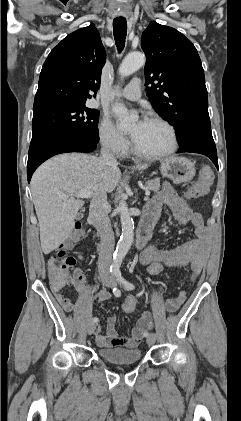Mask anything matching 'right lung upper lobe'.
Here are the masks:
<instances>
[{"label": "right lung upper lobe", "mask_w": 241, "mask_h": 421, "mask_svg": "<svg viewBox=\"0 0 241 421\" xmlns=\"http://www.w3.org/2000/svg\"><path fill=\"white\" fill-rule=\"evenodd\" d=\"M105 60L93 24L69 34L52 49L42 67L33 108L53 103L85 104L99 89Z\"/></svg>", "instance_id": "cb5924a9"}]
</instances>
